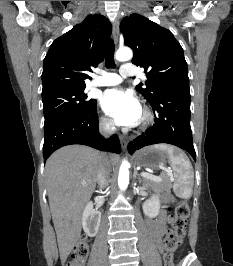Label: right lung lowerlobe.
Masks as SVG:
<instances>
[{"label":"right lung lower lobe","mask_w":233,"mask_h":266,"mask_svg":"<svg viewBox=\"0 0 233 266\" xmlns=\"http://www.w3.org/2000/svg\"><path fill=\"white\" fill-rule=\"evenodd\" d=\"M44 162L58 148L83 144L101 151L120 153L117 135L105 140L99 134L96 104L88 111L58 117L44 124Z\"/></svg>","instance_id":"1"}]
</instances>
